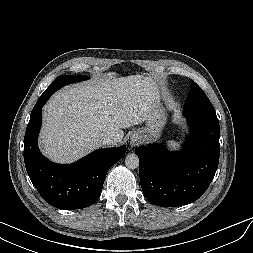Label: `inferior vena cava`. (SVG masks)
<instances>
[{
  "label": "inferior vena cava",
  "instance_id": "1",
  "mask_svg": "<svg viewBox=\"0 0 253 253\" xmlns=\"http://www.w3.org/2000/svg\"><path fill=\"white\" fill-rule=\"evenodd\" d=\"M115 141V138L113 135L109 134V133H102L101 134V142L103 144H110L113 143Z\"/></svg>",
  "mask_w": 253,
  "mask_h": 253
}]
</instances>
